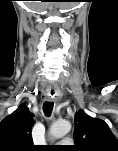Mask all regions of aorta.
Listing matches in <instances>:
<instances>
[{
	"mask_svg": "<svg viewBox=\"0 0 118 151\" xmlns=\"http://www.w3.org/2000/svg\"><path fill=\"white\" fill-rule=\"evenodd\" d=\"M71 130V124L67 120L56 121L52 124L49 134L54 139H59L68 134Z\"/></svg>",
	"mask_w": 118,
	"mask_h": 151,
	"instance_id": "aorta-1",
	"label": "aorta"
}]
</instances>
